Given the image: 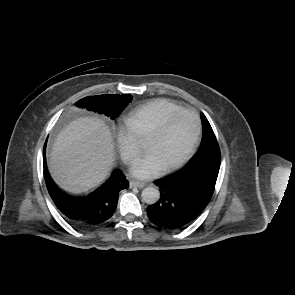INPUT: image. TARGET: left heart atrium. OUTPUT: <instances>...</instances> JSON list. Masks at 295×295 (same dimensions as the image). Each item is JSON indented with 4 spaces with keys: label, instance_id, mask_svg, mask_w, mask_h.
<instances>
[{
    "label": "left heart atrium",
    "instance_id": "39dd6f15",
    "mask_svg": "<svg viewBox=\"0 0 295 295\" xmlns=\"http://www.w3.org/2000/svg\"><path fill=\"white\" fill-rule=\"evenodd\" d=\"M162 169L156 157L147 153L138 158L131 166V173L138 178L145 179L156 175Z\"/></svg>",
    "mask_w": 295,
    "mask_h": 295
}]
</instances>
